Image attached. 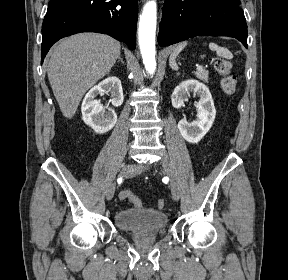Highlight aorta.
<instances>
[{"instance_id": "1", "label": "aorta", "mask_w": 288, "mask_h": 280, "mask_svg": "<svg viewBox=\"0 0 288 280\" xmlns=\"http://www.w3.org/2000/svg\"><path fill=\"white\" fill-rule=\"evenodd\" d=\"M157 23V5L155 0L148 1L140 16L138 39L145 69L153 74L156 70L155 33Z\"/></svg>"}]
</instances>
